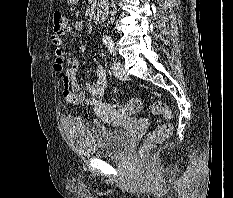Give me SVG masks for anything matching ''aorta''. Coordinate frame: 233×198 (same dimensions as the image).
<instances>
[{
  "label": "aorta",
  "mask_w": 233,
  "mask_h": 198,
  "mask_svg": "<svg viewBox=\"0 0 233 198\" xmlns=\"http://www.w3.org/2000/svg\"><path fill=\"white\" fill-rule=\"evenodd\" d=\"M108 39H109V37L103 36V40H108Z\"/></svg>",
  "instance_id": "aorta-1"
}]
</instances>
